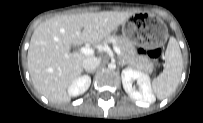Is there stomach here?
<instances>
[{
  "mask_svg": "<svg viewBox=\"0 0 203 123\" xmlns=\"http://www.w3.org/2000/svg\"><path fill=\"white\" fill-rule=\"evenodd\" d=\"M126 22L122 25V33L124 38L133 44H141L147 48H157L167 41L166 26L154 16L146 15L143 19Z\"/></svg>",
  "mask_w": 203,
  "mask_h": 123,
  "instance_id": "0dacf381",
  "label": "stomach"
}]
</instances>
